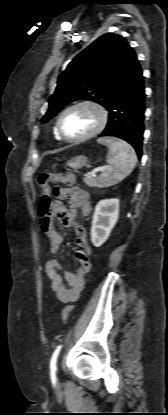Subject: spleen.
<instances>
[{
  "label": "spleen",
  "instance_id": "3e777b00",
  "mask_svg": "<svg viewBox=\"0 0 168 415\" xmlns=\"http://www.w3.org/2000/svg\"><path fill=\"white\" fill-rule=\"evenodd\" d=\"M98 143L109 149L107 155L108 166L98 178V185L107 188L126 178L137 163V156L133 147L126 141L113 137L99 138Z\"/></svg>",
  "mask_w": 168,
  "mask_h": 415
}]
</instances>
